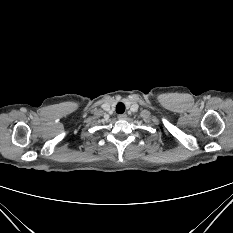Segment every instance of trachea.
I'll list each match as a JSON object with an SVG mask.
<instances>
[{"mask_svg": "<svg viewBox=\"0 0 233 233\" xmlns=\"http://www.w3.org/2000/svg\"><path fill=\"white\" fill-rule=\"evenodd\" d=\"M125 111V105L123 103H118L116 106V112L122 114Z\"/></svg>", "mask_w": 233, "mask_h": 233, "instance_id": "3493384b", "label": "trachea"}]
</instances>
